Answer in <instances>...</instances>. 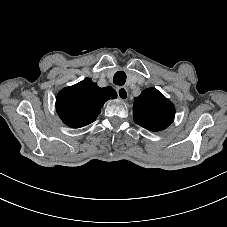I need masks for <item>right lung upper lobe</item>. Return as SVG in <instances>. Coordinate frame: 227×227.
I'll return each instance as SVG.
<instances>
[{
	"label": "right lung upper lobe",
	"mask_w": 227,
	"mask_h": 227,
	"mask_svg": "<svg viewBox=\"0 0 227 227\" xmlns=\"http://www.w3.org/2000/svg\"><path fill=\"white\" fill-rule=\"evenodd\" d=\"M116 97L112 87L99 88L91 79L85 78L58 93L56 110L66 125L80 128L92 123L104 103Z\"/></svg>",
	"instance_id": "cb5924a9"
}]
</instances>
